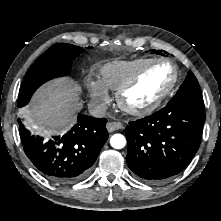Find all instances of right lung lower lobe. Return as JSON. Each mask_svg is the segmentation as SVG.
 I'll use <instances>...</instances> for the list:
<instances>
[{
  "mask_svg": "<svg viewBox=\"0 0 221 221\" xmlns=\"http://www.w3.org/2000/svg\"><path fill=\"white\" fill-rule=\"evenodd\" d=\"M18 123L26 156L44 177L59 184L84 178L108 138L105 118L83 114L65 135L46 140L32 135L21 119Z\"/></svg>",
  "mask_w": 221,
  "mask_h": 221,
  "instance_id": "1",
  "label": "right lung lower lobe"
}]
</instances>
